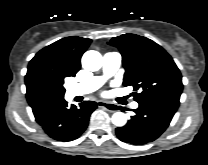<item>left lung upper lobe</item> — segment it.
Returning a JSON list of instances; mask_svg holds the SVG:
<instances>
[{
    "label": "left lung upper lobe",
    "instance_id": "5c2ea615",
    "mask_svg": "<svg viewBox=\"0 0 208 165\" xmlns=\"http://www.w3.org/2000/svg\"><path fill=\"white\" fill-rule=\"evenodd\" d=\"M109 44L122 54L123 84L141 91L134 92V99L139 104L156 99H180L181 73L161 46L146 37L129 33L112 38Z\"/></svg>",
    "mask_w": 208,
    "mask_h": 165
}]
</instances>
